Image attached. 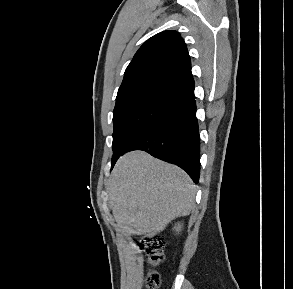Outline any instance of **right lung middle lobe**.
<instances>
[{
	"label": "right lung middle lobe",
	"mask_w": 293,
	"mask_h": 289,
	"mask_svg": "<svg viewBox=\"0 0 293 289\" xmlns=\"http://www.w3.org/2000/svg\"><path fill=\"white\" fill-rule=\"evenodd\" d=\"M176 107L175 104L158 97H132L117 103L113 112L114 154Z\"/></svg>",
	"instance_id": "obj_1"
}]
</instances>
